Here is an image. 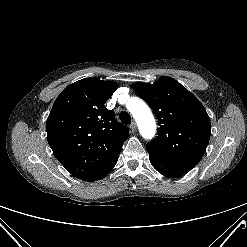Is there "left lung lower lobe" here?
Here are the masks:
<instances>
[{"label": "left lung lower lobe", "mask_w": 247, "mask_h": 247, "mask_svg": "<svg viewBox=\"0 0 247 247\" xmlns=\"http://www.w3.org/2000/svg\"><path fill=\"white\" fill-rule=\"evenodd\" d=\"M152 166L162 175L169 178H177L188 173L193 164L183 163L167 158L155 151L147 149Z\"/></svg>", "instance_id": "1"}]
</instances>
